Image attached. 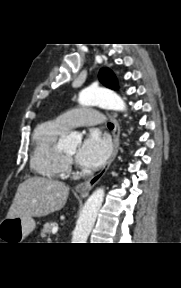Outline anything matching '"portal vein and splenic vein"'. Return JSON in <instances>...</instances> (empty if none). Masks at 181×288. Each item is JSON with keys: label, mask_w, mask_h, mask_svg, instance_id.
Here are the masks:
<instances>
[{"label": "portal vein and splenic vein", "mask_w": 181, "mask_h": 288, "mask_svg": "<svg viewBox=\"0 0 181 288\" xmlns=\"http://www.w3.org/2000/svg\"><path fill=\"white\" fill-rule=\"evenodd\" d=\"M57 231H58V227H57V226L53 227V229H52V233H53V234H56Z\"/></svg>", "instance_id": "obj_1"}]
</instances>
